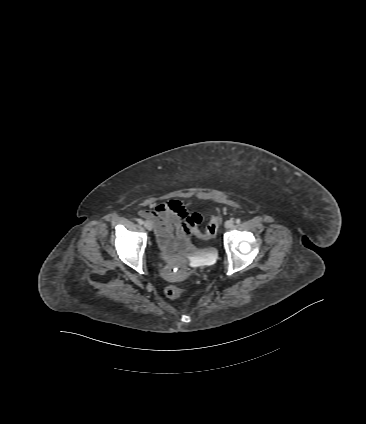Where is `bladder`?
Masks as SVG:
<instances>
[{"instance_id": "31cf9c89", "label": "bladder", "mask_w": 366, "mask_h": 424, "mask_svg": "<svg viewBox=\"0 0 366 424\" xmlns=\"http://www.w3.org/2000/svg\"><path fill=\"white\" fill-rule=\"evenodd\" d=\"M215 250L213 248H207L200 251L201 255H207L213 253Z\"/></svg>"}]
</instances>
